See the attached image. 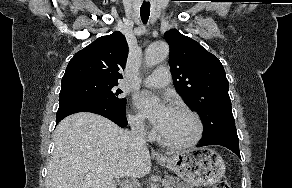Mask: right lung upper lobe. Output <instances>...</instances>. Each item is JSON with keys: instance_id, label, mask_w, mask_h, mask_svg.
<instances>
[{"instance_id": "cb5924a9", "label": "right lung upper lobe", "mask_w": 292, "mask_h": 188, "mask_svg": "<svg viewBox=\"0 0 292 188\" xmlns=\"http://www.w3.org/2000/svg\"><path fill=\"white\" fill-rule=\"evenodd\" d=\"M127 55V41L121 32L99 37L73 56L62 80L88 77L118 83Z\"/></svg>"}]
</instances>
